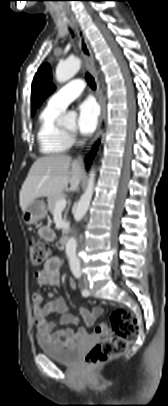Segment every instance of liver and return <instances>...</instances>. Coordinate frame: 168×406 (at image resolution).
<instances>
[{
  "mask_svg": "<svg viewBox=\"0 0 168 406\" xmlns=\"http://www.w3.org/2000/svg\"><path fill=\"white\" fill-rule=\"evenodd\" d=\"M83 170L70 156L54 154L38 158L30 168L20 190L22 211L37 198L55 197L70 184L72 191L79 188Z\"/></svg>",
  "mask_w": 168,
  "mask_h": 406,
  "instance_id": "obj_1",
  "label": "liver"
}]
</instances>
